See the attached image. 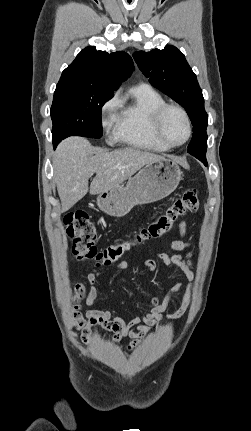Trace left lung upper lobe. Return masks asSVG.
<instances>
[{
    "mask_svg": "<svg viewBox=\"0 0 251 431\" xmlns=\"http://www.w3.org/2000/svg\"><path fill=\"white\" fill-rule=\"evenodd\" d=\"M133 57L152 86L185 108L193 125L188 153L206 164L208 115L202 90L184 54L168 45L161 50L136 51Z\"/></svg>",
    "mask_w": 251,
    "mask_h": 431,
    "instance_id": "obj_1",
    "label": "left lung upper lobe"
}]
</instances>
